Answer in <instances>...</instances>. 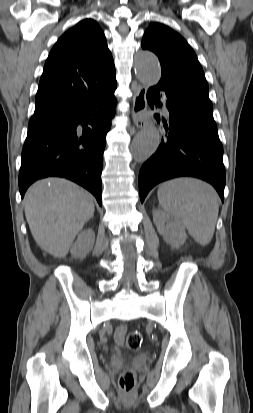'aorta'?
I'll list each match as a JSON object with an SVG mask.
<instances>
[{
	"label": "aorta",
	"instance_id": "762f6f07",
	"mask_svg": "<svg viewBox=\"0 0 253 413\" xmlns=\"http://www.w3.org/2000/svg\"><path fill=\"white\" fill-rule=\"evenodd\" d=\"M135 74L137 78L147 84L155 85L161 77V68L158 58L150 51H140L135 58ZM161 136L154 125L146 126L135 137L131 151L135 161L144 162L152 156L160 144Z\"/></svg>",
	"mask_w": 253,
	"mask_h": 413
}]
</instances>
